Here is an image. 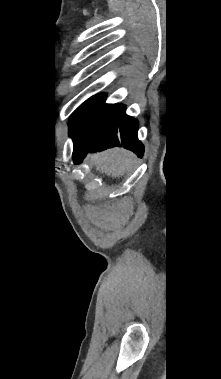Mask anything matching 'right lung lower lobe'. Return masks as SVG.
Masks as SVG:
<instances>
[{"instance_id":"98d812e1","label":"right lung lower lobe","mask_w":221,"mask_h":379,"mask_svg":"<svg viewBox=\"0 0 221 379\" xmlns=\"http://www.w3.org/2000/svg\"><path fill=\"white\" fill-rule=\"evenodd\" d=\"M138 124L125 114V108L118 106L113 119L94 142L74 143L73 160L80 163L88 152L104 150L114 146H123L142 157L144 148L137 138Z\"/></svg>"}]
</instances>
